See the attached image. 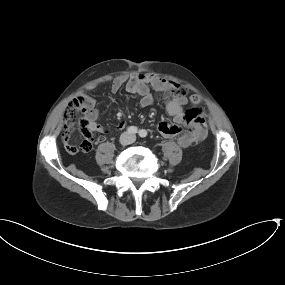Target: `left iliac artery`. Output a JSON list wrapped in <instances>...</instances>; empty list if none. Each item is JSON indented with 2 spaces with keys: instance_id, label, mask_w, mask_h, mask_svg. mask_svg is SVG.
Here are the masks:
<instances>
[{
  "instance_id": "left-iliac-artery-1",
  "label": "left iliac artery",
  "mask_w": 285,
  "mask_h": 285,
  "mask_svg": "<svg viewBox=\"0 0 285 285\" xmlns=\"http://www.w3.org/2000/svg\"><path fill=\"white\" fill-rule=\"evenodd\" d=\"M139 136L142 138H145L147 136V132L145 130H140L139 131Z\"/></svg>"
}]
</instances>
